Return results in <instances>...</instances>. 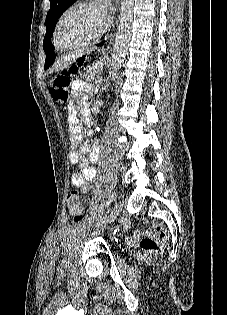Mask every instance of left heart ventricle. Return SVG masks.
<instances>
[{
	"label": "left heart ventricle",
	"mask_w": 227,
	"mask_h": 315,
	"mask_svg": "<svg viewBox=\"0 0 227 315\" xmlns=\"http://www.w3.org/2000/svg\"><path fill=\"white\" fill-rule=\"evenodd\" d=\"M104 22L103 13L94 7L71 11L63 20L57 37L60 46L78 43L93 35Z\"/></svg>",
	"instance_id": "b2bd125f"
}]
</instances>
